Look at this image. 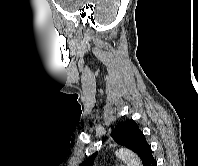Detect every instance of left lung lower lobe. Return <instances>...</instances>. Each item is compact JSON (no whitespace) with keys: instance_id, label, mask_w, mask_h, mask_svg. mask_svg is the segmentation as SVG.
I'll return each mask as SVG.
<instances>
[{"instance_id":"0a47b994","label":"left lung lower lobe","mask_w":198,"mask_h":166,"mask_svg":"<svg viewBox=\"0 0 198 166\" xmlns=\"http://www.w3.org/2000/svg\"><path fill=\"white\" fill-rule=\"evenodd\" d=\"M145 166H157V161L151 156Z\"/></svg>"}]
</instances>
